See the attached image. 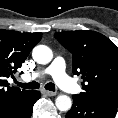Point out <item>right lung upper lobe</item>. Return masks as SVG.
I'll use <instances>...</instances> for the list:
<instances>
[{"label": "right lung upper lobe", "instance_id": "right-lung-upper-lobe-1", "mask_svg": "<svg viewBox=\"0 0 118 118\" xmlns=\"http://www.w3.org/2000/svg\"><path fill=\"white\" fill-rule=\"evenodd\" d=\"M41 38L42 33L0 30V118L11 117L33 98L35 91L10 86L7 78L21 67Z\"/></svg>", "mask_w": 118, "mask_h": 118}]
</instances>
